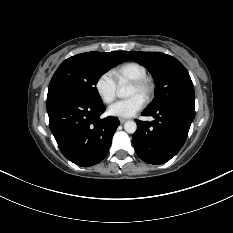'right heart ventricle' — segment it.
I'll return each instance as SVG.
<instances>
[{
	"mask_svg": "<svg viewBox=\"0 0 233 233\" xmlns=\"http://www.w3.org/2000/svg\"><path fill=\"white\" fill-rule=\"evenodd\" d=\"M113 77L118 82L129 81L147 77L146 67L138 62H127L112 71Z\"/></svg>",
	"mask_w": 233,
	"mask_h": 233,
	"instance_id": "obj_1",
	"label": "right heart ventricle"
}]
</instances>
